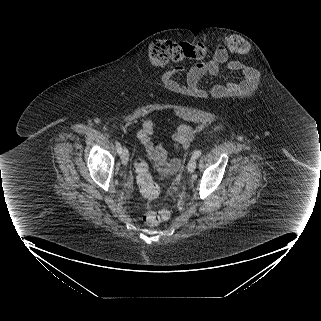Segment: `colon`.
<instances>
[{
  "label": "colon",
  "instance_id": "obj_1",
  "mask_svg": "<svg viewBox=\"0 0 321 321\" xmlns=\"http://www.w3.org/2000/svg\"><path fill=\"white\" fill-rule=\"evenodd\" d=\"M223 45L232 53L246 54L249 51L248 42L236 35H229L223 39ZM208 48L200 43L176 42L171 40H157L148 47V58L155 67H165L172 63L183 61H197L204 59ZM137 182L143 197L147 201L155 199L159 189L148 172L147 163L139 160L135 164ZM169 217L167 210H147L143 214V221L149 226H156Z\"/></svg>",
  "mask_w": 321,
  "mask_h": 321
}]
</instances>
